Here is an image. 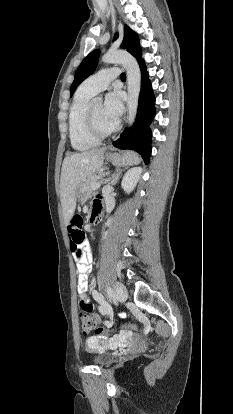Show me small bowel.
I'll return each mask as SVG.
<instances>
[{
    "mask_svg": "<svg viewBox=\"0 0 233 414\" xmlns=\"http://www.w3.org/2000/svg\"><path fill=\"white\" fill-rule=\"evenodd\" d=\"M84 256L79 258L74 252L75 267L78 272V293L81 298L88 299L86 293L91 292L93 298L98 303L97 310H100L102 313H109L114 309V306L111 303L106 304L104 298L96 290L95 284H89L88 275L91 271L92 258L90 254L89 246L85 243L83 245Z\"/></svg>",
    "mask_w": 233,
    "mask_h": 414,
    "instance_id": "c3829d8e",
    "label": "small bowel"
}]
</instances>
